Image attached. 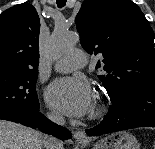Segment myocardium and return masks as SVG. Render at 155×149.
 Listing matches in <instances>:
<instances>
[{
    "label": "myocardium",
    "mask_w": 155,
    "mask_h": 149,
    "mask_svg": "<svg viewBox=\"0 0 155 149\" xmlns=\"http://www.w3.org/2000/svg\"><path fill=\"white\" fill-rule=\"evenodd\" d=\"M102 108L100 105H96L93 107L91 113H90V118L95 119L98 118L102 114Z\"/></svg>",
    "instance_id": "myocardium-1"
}]
</instances>
